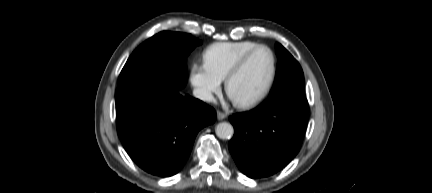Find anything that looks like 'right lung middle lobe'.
Masks as SVG:
<instances>
[{"label": "right lung middle lobe", "mask_w": 432, "mask_h": 193, "mask_svg": "<svg viewBox=\"0 0 432 193\" xmlns=\"http://www.w3.org/2000/svg\"><path fill=\"white\" fill-rule=\"evenodd\" d=\"M201 43L191 34L163 31L154 35L131 54L118 86L140 77L157 76L183 88L187 83V56Z\"/></svg>", "instance_id": "dd1d6c3e"}]
</instances>
